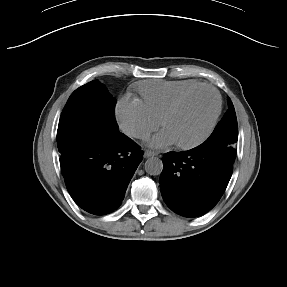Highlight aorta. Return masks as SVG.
Listing matches in <instances>:
<instances>
[{"instance_id": "aorta-1", "label": "aorta", "mask_w": 287, "mask_h": 287, "mask_svg": "<svg viewBox=\"0 0 287 287\" xmlns=\"http://www.w3.org/2000/svg\"><path fill=\"white\" fill-rule=\"evenodd\" d=\"M163 170L162 160L158 157H151L145 162V171L149 175H160Z\"/></svg>"}]
</instances>
